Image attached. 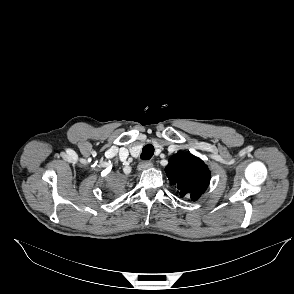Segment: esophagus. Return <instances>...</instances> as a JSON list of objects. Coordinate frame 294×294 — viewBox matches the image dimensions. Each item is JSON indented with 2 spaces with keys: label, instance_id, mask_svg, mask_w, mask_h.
Instances as JSON below:
<instances>
[{
  "label": "esophagus",
  "instance_id": "obj_1",
  "mask_svg": "<svg viewBox=\"0 0 294 294\" xmlns=\"http://www.w3.org/2000/svg\"><path fill=\"white\" fill-rule=\"evenodd\" d=\"M153 166L152 162L150 161H144V162H141L139 165H138V170L139 171H143V170H146V169H149Z\"/></svg>",
  "mask_w": 294,
  "mask_h": 294
}]
</instances>
